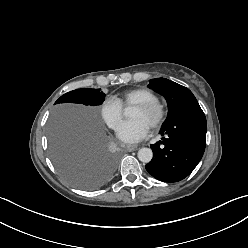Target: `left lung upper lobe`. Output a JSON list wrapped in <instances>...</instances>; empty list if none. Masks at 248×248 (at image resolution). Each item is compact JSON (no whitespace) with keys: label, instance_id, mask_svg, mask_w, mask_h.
<instances>
[{"label":"left lung upper lobe","instance_id":"1","mask_svg":"<svg viewBox=\"0 0 248 248\" xmlns=\"http://www.w3.org/2000/svg\"><path fill=\"white\" fill-rule=\"evenodd\" d=\"M148 87L163 95L168 103V116L163 125L168 123L188 103L197 101L188 88L165 78L151 79Z\"/></svg>","mask_w":248,"mask_h":248}]
</instances>
